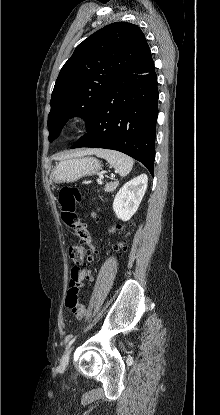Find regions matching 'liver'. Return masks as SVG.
<instances>
[{
  "instance_id": "6515ba94",
  "label": "liver",
  "mask_w": 220,
  "mask_h": 415,
  "mask_svg": "<svg viewBox=\"0 0 220 415\" xmlns=\"http://www.w3.org/2000/svg\"><path fill=\"white\" fill-rule=\"evenodd\" d=\"M96 150H86L84 152H80L79 154H91L94 153Z\"/></svg>"
}]
</instances>
